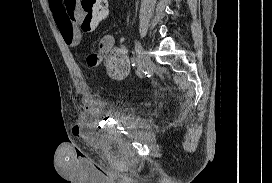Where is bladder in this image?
Segmentation results:
<instances>
[{
    "instance_id": "1",
    "label": "bladder",
    "mask_w": 272,
    "mask_h": 183,
    "mask_svg": "<svg viewBox=\"0 0 272 183\" xmlns=\"http://www.w3.org/2000/svg\"><path fill=\"white\" fill-rule=\"evenodd\" d=\"M114 116L118 121L121 120L123 117L121 114H115Z\"/></svg>"
}]
</instances>
